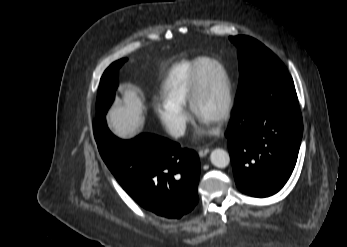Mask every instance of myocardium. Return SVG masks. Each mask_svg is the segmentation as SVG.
<instances>
[{
    "mask_svg": "<svg viewBox=\"0 0 347 247\" xmlns=\"http://www.w3.org/2000/svg\"><path fill=\"white\" fill-rule=\"evenodd\" d=\"M204 63H209L215 66L220 71L222 76V81L224 86V102H223V106L221 108L220 113L214 120L215 123H222L225 120H227L231 114L233 103H234V97H233L232 82L228 74V71L226 70L224 65L218 60H215L213 58H203L202 62L195 67L192 74L190 87H189L188 105L192 114L196 118H199L198 102H199V95L201 90L200 71H201V66Z\"/></svg>",
    "mask_w": 347,
    "mask_h": 247,
    "instance_id": "obj_1",
    "label": "myocardium"
}]
</instances>
